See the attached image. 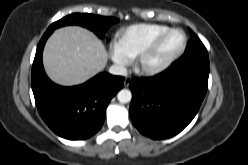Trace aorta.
<instances>
[{"label":"aorta","mask_w":248,"mask_h":165,"mask_svg":"<svg viewBox=\"0 0 248 165\" xmlns=\"http://www.w3.org/2000/svg\"><path fill=\"white\" fill-rule=\"evenodd\" d=\"M118 101L121 103H128L131 101L132 94L130 90L122 89L117 94Z\"/></svg>","instance_id":"aorta-1"}]
</instances>
